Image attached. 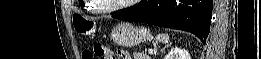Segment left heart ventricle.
<instances>
[{"label": "left heart ventricle", "mask_w": 261, "mask_h": 59, "mask_svg": "<svg viewBox=\"0 0 261 59\" xmlns=\"http://www.w3.org/2000/svg\"><path fill=\"white\" fill-rule=\"evenodd\" d=\"M125 2H127V1H125V0H99V1H97L98 5L101 8L116 6V5H119L121 3H125Z\"/></svg>", "instance_id": "obj_1"}]
</instances>
